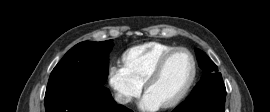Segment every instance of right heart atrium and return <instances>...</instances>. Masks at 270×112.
Returning a JSON list of instances; mask_svg holds the SVG:
<instances>
[{
    "label": "right heart atrium",
    "instance_id": "1",
    "mask_svg": "<svg viewBox=\"0 0 270 112\" xmlns=\"http://www.w3.org/2000/svg\"><path fill=\"white\" fill-rule=\"evenodd\" d=\"M108 83L114 90L116 100L123 105L138 97L143 88V85L119 62L109 68Z\"/></svg>",
    "mask_w": 270,
    "mask_h": 112
}]
</instances>
